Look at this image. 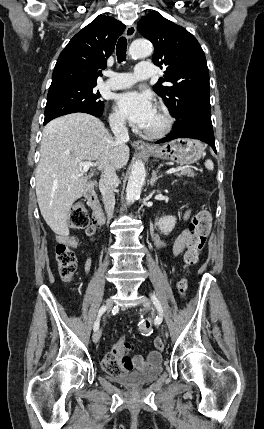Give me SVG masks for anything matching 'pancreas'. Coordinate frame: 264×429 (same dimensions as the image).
Instances as JSON below:
<instances>
[{"label":"pancreas","mask_w":264,"mask_h":429,"mask_svg":"<svg viewBox=\"0 0 264 429\" xmlns=\"http://www.w3.org/2000/svg\"><path fill=\"white\" fill-rule=\"evenodd\" d=\"M183 175L194 177L195 173L189 166H184L183 168L180 169V172L176 173L177 177H181Z\"/></svg>","instance_id":"pancreas-1"}]
</instances>
